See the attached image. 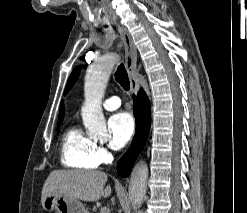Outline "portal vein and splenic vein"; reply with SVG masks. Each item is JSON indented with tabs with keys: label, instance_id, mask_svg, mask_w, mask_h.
Here are the masks:
<instances>
[{
	"label": "portal vein and splenic vein",
	"instance_id": "obj_1",
	"mask_svg": "<svg viewBox=\"0 0 247 213\" xmlns=\"http://www.w3.org/2000/svg\"><path fill=\"white\" fill-rule=\"evenodd\" d=\"M100 213H110V210L107 207H102Z\"/></svg>",
	"mask_w": 247,
	"mask_h": 213
}]
</instances>
